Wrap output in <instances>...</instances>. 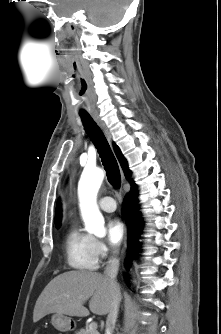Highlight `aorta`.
<instances>
[{"mask_svg": "<svg viewBox=\"0 0 221 334\" xmlns=\"http://www.w3.org/2000/svg\"><path fill=\"white\" fill-rule=\"evenodd\" d=\"M103 179L102 169H85L78 183L79 206L85 229L98 237L106 235L104 217L97 205V193Z\"/></svg>", "mask_w": 221, "mask_h": 334, "instance_id": "1", "label": "aorta"}]
</instances>
